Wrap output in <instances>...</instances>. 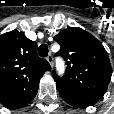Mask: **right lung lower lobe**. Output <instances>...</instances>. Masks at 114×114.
Segmentation results:
<instances>
[{
  "label": "right lung lower lobe",
  "mask_w": 114,
  "mask_h": 114,
  "mask_svg": "<svg viewBox=\"0 0 114 114\" xmlns=\"http://www.w3.org/2000/svg\"><path fill=\"white\" fill-rule=\"evenodd\" d=\"M31 100H32V99H31ZM31 100H29V101H27V102H25V103H23V104L19 105L18 107L13 108V109L20 108V107H22V106L26 105L27 103H29Z\"/></svg>",
  "instance_id": "obj_1"
}]
</instances>
